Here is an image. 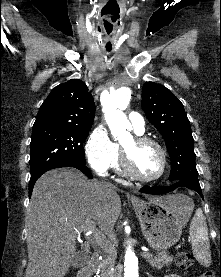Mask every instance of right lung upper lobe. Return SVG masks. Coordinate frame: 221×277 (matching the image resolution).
Instances as JSON below:
<instances>
[{
  "mask_svg": "<svg viewBox=\"0 0 221 277\" xmlns=\"http://www.w3.org/2000/svg\"><path fill=\"white\" fill-rule=\"evenodd\" d=\"M95 104L88 87L79 79H71L55 87L41 105L33 127H91Z\"/></svg>",
  "mask_w": 221,
  "mask_h": 277,
  "instance_id": "1",
  "label": "right lung upper lobe"
}]
</instances>
